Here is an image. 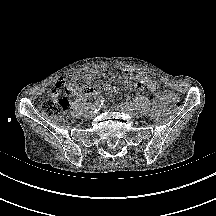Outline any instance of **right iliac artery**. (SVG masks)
<instances>
[{
    "label": "right iliac artery",
    "mask_w": 216,
    "mask_h": 216,
    "mask_svg": "<svg viewBox=\"0 0 216 216\" xmlns=\"http://www.w3.org/2000/svg\"><path fill=\"white\" fill-rule=\"evenodd\" d=\"M103 103H104V98L103 97H99L94 102V105L92 106V109H95V111H98L100 109V107L103 105Z\"/></svg>",
    "instance_id": "obj_1"
}]
</instances>
